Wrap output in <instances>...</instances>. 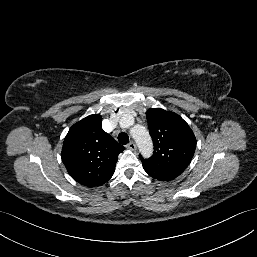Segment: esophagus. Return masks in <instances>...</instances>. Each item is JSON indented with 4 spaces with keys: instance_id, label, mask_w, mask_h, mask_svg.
<instances>
[{
    "instance_id": "1",
    "label": "esophagus",
    "mask_w": 257,
    "mask_h": 257,
    "mask_svg": "<svg viewBox=\"0 0 257 257\" xmlns=\"http://www.w3.org/2000/svg\"><path fill=\"white\" fill-rule=\"evenodd\" d=\"M126 147L132 151L136 150L137 148L136 144L133 141H131Z\"/></svg>"
}]
</instances>
